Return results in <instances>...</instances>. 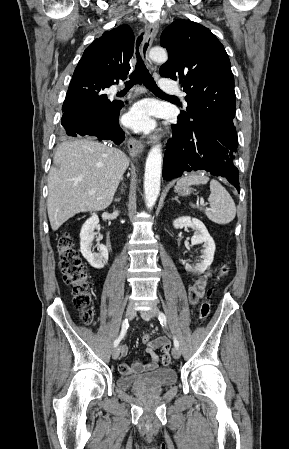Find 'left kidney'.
I'll list each match as a JSON object with an SVG mask.
<instances>
[{
	"mask_svg": "<svg viewBox=\"0 0 289 449\" xmlns=\"http://www.w3.org/2000/svg\"><path fill=\"white\" fill-rule=\"evenodd\" d=\"M174 228L190 227L195 232L191 238L192 245L203 243L204 250L201 255V262L196 266L185 264V269L193 273H203L212 264L215 253V243L213 238L208 233L207 228L200 220L191 217H180L173 221Z\"/></svg>",
	"mask_w": 289,
	"mask_h": 449,
	"instance_id": "1",
	"label": "left kidney"
}]
</instances>
